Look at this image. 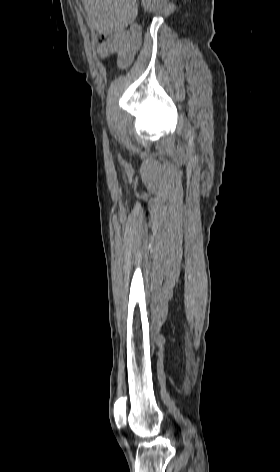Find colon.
I'll return each instance as SVG.
<instances>
[{
    "label": "colon",
    "instance_id": "obj_1",
    "mask_svg": "<svg viewBox=\"0 0 280 472\" xmlns=\"http://www.w3.org/2000/svg\"><path fill=\"white\" fill-rule=\"evenodd\" d=\"M111 36L108 33H98L95 36V42L99 45H104L110 40ZM118 64L120 67H126L130 64V59L127 56L118 58Z\"/></svg>",
    "mask_w": 280,
    "mask_h": 472
}]
</instances>
